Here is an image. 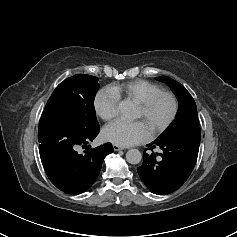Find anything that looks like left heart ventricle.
I'll return each instance as SVG.
<instances>
[{
	"instance_id": "b2bd125f",
	"label": "left heart ventricle",
	"mask_w": 237,
	"mask_h": 237,
	"mask_svg": "<svg viewBox=\"0 0 237 237\" xmlns=\"http://www.w3.org/2000/svg\"><path fill=\"white\" fill-rule=\"evenodd\" d=\"M172 110V103L169 98L163 97L160 98L153 108L151 109L150 113L148 114L147 117H143L140 109L136 107L135 113H134V118L135 119H142L143 124L147 128L149 132L163 122L171 113Z\"/></svg>"
}]
</instances>
